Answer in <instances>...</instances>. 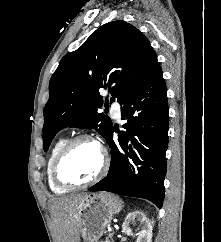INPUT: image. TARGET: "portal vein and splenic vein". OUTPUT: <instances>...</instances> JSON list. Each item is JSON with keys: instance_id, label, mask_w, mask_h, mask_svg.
I'll return each instance as SVG.
<instances>
[{"instance_id": "obj_1", "label": "portal vein and splenic vein", "mask_w": 221, "mask_h": 242, "mask_svg": "<svg viewBox=\"0 0 221 242\" xmlns=\"http://www.w3.org/2000/svg\"><path fill=\"white\" fill-rule=\"evenodd\" d=\"M112 231V230H111ZM113 236V233H109V237H112Z\"/></svg>"}]
</instances>
